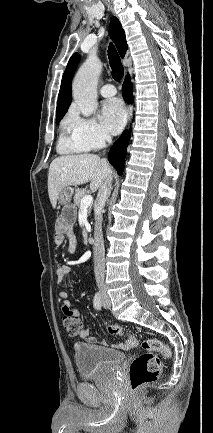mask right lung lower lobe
Returning a JSON list of instances; mask_svg holds the SVG:
<instances>
[{"instance_id":"1","label":"right lung lower lobe","mask_w":213,"mask_h":433,"mask_svg":"<svg viewBox=\"0 0 213 433\" xmlns=\"http://www.w3.org/2000/svg\"><path fill=\"white\" fill-rule=\"evenodd\" d=\"M132 92V83L130 81L129 75H127L123 84V98L127 103L133 102ZM130 134V131H125L121 137L115 141L108 154L109 162L117 170L119 175H121L124 170V162L127 154V146L130 140Z\"/></svg>"}]
</instances>
